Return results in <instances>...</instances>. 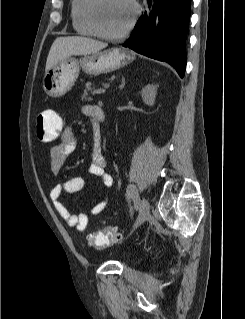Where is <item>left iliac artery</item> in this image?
Listing matches in <instances>:
<instances>
[{"label":"left iliac artery","mask_w":245,"mask_h":319,"mask_svg":"<svg viewBox=\"0 0 245 319\" xmlns=\"http://www.w3.org/2000/svg\"><path fill=\"white\" fill-rule=\"evenodd\" d=\"M127 195L130 199L136 200L138 198V195L136 193V188L134 185H129L127 187Z\"/></svg>","instance_id":"44dca946"}]
</instances>
